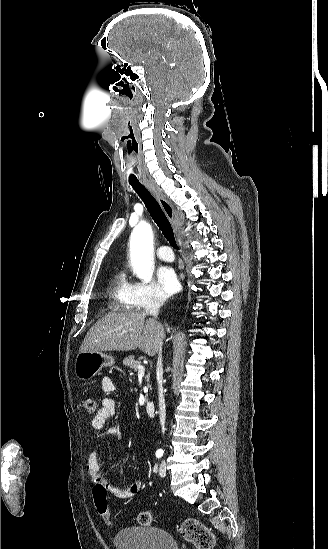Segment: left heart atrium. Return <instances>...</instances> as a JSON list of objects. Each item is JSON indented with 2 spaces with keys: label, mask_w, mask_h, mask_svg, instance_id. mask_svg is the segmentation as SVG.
<instances>
[{
  "label": "left heart atrium",
  "mask_w": 328,
  "mask_h": 549,
  "mask_svg": "<svg viewBox=\"0 0 328 549\" xmlns=\"http://www.w3.org/2000/svg\"><path fill=\"white\" fill-rule=\"evenodd\" d=\"M158 286L164 296H170L177 290L178 280L172 269L165 267L159 271Z\"/></svg>",
  "instance_id": "39dd6f15"
}]
</instances>
